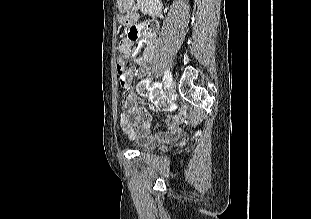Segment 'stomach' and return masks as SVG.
I'll return each mask as SVG.
<instances>
[{"mask_svg":"<svg viewBox=\"0 0 311 219\" xmlns=\"http://www.w3.org/2000/svg\"><path fill=\"white\" fill-rule=\"evenodd\" d=\"M133 0L130 2V7L127 11L121 12L119 21L124 26H130L136 19V15L130 11Z\"/></svg>","mask_w":311,"mask_h":219,"instance_id":"obj_1","label":"stomach"}]
</instances>
